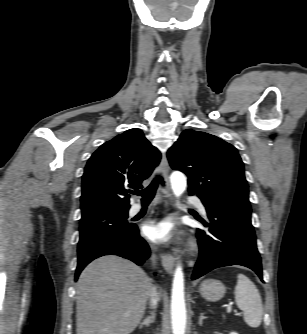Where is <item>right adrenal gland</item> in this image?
Wrapping results in <instances>:
<instances>
[{
    "label": "right adrenal gland",
    "instance_id": "right-adrenal-gland-1",
    "mask_svg": "<svg viewBox=\"0 0 307 334\" xmlns=\"http://www.w3.org/2000/svg\"><path fill=\"white\" fill-rule=\"evenodd\" d=\"M154 320H155V313H154V311H153V312H151V315H150V316H148L147 318H145V319L143 320V322L140 323V328H142L144 325H145V326H150V324L153 323Z\"/></svg>",
    "mask_w": 307,
    "mask_h": 334
}]
</instances>
